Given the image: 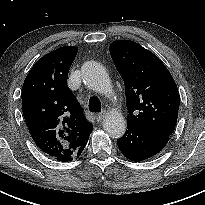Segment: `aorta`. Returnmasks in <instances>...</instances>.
Listing matches in <instances>:
<instances>
[{"instance_id": "obj_1", "label": "aorta", "mask_w": 205, "mask_h": 205, "mask_svg": "<svg viewBox=\"0 0 205 205\" xmlns=\"http://www.w3.org/2000/svg\"><path fill=\"white\" fill-rule=\"evenodd\" d=\"M84 83L94 91L110 93L112 91L111 80L106 69L95 61H87L81 68ZM104 130L113 138H120L126 130V121L122 113L111 111L103 120Z\"/></svg>"}]
</instances>
